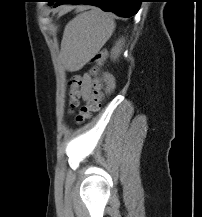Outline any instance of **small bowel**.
Instances as JSON below:
<instances>
[{
  "label": "small bowel",
  "instance_id": "obj_1",
  "mask_svg": "<svg viewBox=\"0 0 202 217\" xmlns=\"http://www.w3.org/2000/svg\"><path fill=\"white\" fill-rule=\"evenodd\" d=\"M83 85H82V97L85 101H88L92 92V80L88 74H85L83 77ZM104 79L107 82L108 88L113 89L115 86V81L112 75L106 73L104 75Z\"/></svg>",
  "mask_w": 202,
  "mask_h": 217
}]
</instances>
